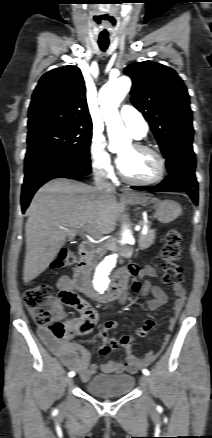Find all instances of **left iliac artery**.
Masks as SVG:
<instances>
[{
	"label": "left iliac artery",
	"mask_w": 212,
	"mask_h": 438,
	"mask_svg": "<svg viewBox=\"0 0 212 438\" xmlns=\"http://www.w3.org/2000/svg\"><path fill=\"white\" fill-rule=\"evenodd\" d=\"M142 372L146 376H148L150 374L149 370H147V369H143Z\"/></svg>",
	"instance_id": "obj_1"
}]
</instances>
